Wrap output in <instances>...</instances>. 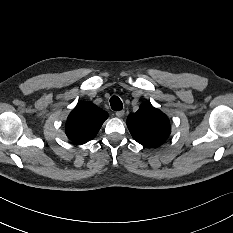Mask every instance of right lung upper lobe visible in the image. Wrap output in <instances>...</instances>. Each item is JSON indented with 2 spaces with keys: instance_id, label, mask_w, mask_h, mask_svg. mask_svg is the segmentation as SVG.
Returning a JSON list of instances; mask_svg holds the SVG:
<instances>
[{
  "instance_id": "right-lung-upper-lobe-1",
  "label": "right lung upper lobe",
  "mask_w": 233,
  "mask_h": 233,
  "mask_svg": "<svg viewBox=\"0 0 233 233\" xmlns=\"http://www.w3.org/2000/svg\"><path fill=\"white\" fill-rule=\"evenodd\" d=\"M107 118V112L92 103L83 102L69 114L66 134L72 142L84 144L96 136Z\"/></svg>"
}]
</instances>
